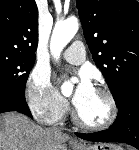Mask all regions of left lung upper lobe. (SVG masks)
<instances>
[{
	"label": "left lung upper lobe",
	"instance_id": "obj_1",
	"mask_svg": "<svg viewBox=\"0 0 139 150\" xmlns=\"http://www.w3.org/2000/svg\"><path fill=\"white\" fill-rule=\"evenodd\" d=\"M83 34L116 103L139 80V2L77 0Z\"/></svg>",
	"mask_w": 139,
	"mask_h": 150
}]
</instances>
